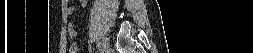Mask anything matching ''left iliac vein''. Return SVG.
Here are the masks:
<instances>
[{"label": "left iliac vein", "mask_w": 253, "mask_h": 53, "mask_svg": "<svg viewBox=\"0 0 253 53\" xmlns=\"http://www.w3.org/2000/svg\"><path fill=\"white\" fill-rule=\"evenodd\" d=\"M102 42H103V48H104L103 53H104V52L107 51V49H108V47H109V41H108L107 38H104Z\"/></svg>", "instance_id": "obj_1"}]
</instances>
